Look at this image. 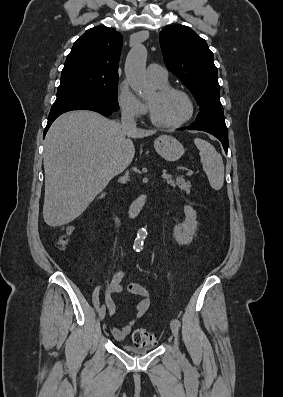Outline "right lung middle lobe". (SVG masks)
<instances>
[{"label": "right lung middle lobe", "instance_id": "dd1d6c3e", "mask_svg": "<svg viewBox=\"0 0 283 397\" xmlns=\"http://www.w3.org/2000/svg\"><path fill=\"white\" fill-rule=\"evenodd\" d=\"M117 87L118 78L62 73L54 104L88 103L116 112L119 109Z\"/></svg>", "mask_w": 283, "mask_h": 397}]
</instances>
